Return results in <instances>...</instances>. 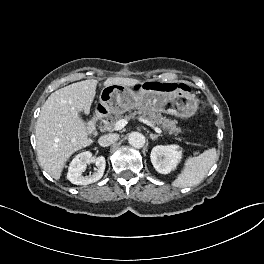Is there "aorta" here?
I'll return each instance as SVG.
<instances>
[{
    "instance_id": "1",
    "label": "aorta",
    "mask_w": 264,
    "mask_h": 264,
    "mask_svg": "<svg viewBox=\"0 0 264 264\" xmlns=\"http://www.w3.org/2000/svg\"><path fill=\"white\" fill-rule=\"evenodd\" d=\"M128 142L135 148H142L145 144V137L140 132H132L129 135Z\"/></svg>"
}]
</instances>
